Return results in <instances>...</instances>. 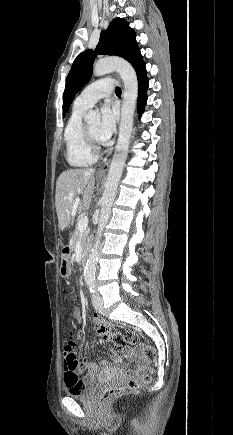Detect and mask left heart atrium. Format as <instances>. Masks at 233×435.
Segmentation results:
<instances>
[{"instance_id": "left-heart-atrium-1", "label": "left heart atrium", "mask_w": 233, "mask_h": 435, "mask_svg": "<svg viewBox=\"0 0 233 435\" xmlns=\"http://www.w3.org/2000/svg\"><path fill=\"white\" fill-rule=\"evenodd\" d=\"M117 110L109 103L104 104L101 109V121L98 130V141L108 144L115 133L117 123Z\"/></svg>"}]
</instances>
